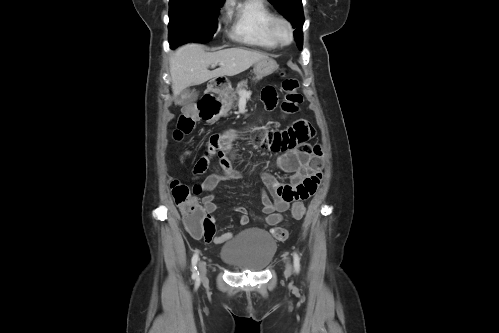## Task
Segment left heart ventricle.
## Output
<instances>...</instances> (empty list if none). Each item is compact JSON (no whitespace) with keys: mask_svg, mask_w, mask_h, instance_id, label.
<instances>
[{"mask_svg":"<svg viewBox=\"0 0 499 333\" xmlns=\"http://www.w3.org/2000/svg\"><path fill=\"white\" fill-rule=\"evenodd\" d=\"M278 30H279L280 34H282V35L285 34V27L284 26H280Z\"/></svg>","mask_w":499,"mask_h":333,"instance_id":"b2bd125f","label":"left heart ventricle"}]
</instances>
